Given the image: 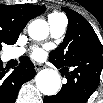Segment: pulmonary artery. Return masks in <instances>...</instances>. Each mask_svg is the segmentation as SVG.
I'll return each mask as SVG.
<instances>
[{
    "label": "pulmonary artery",
    "mask_w": 103,
    "mask_h": 103,
    "mask_svg": "<svg viewBox=\"0 0 103 103\" xmlns=\"http://www.w3.org/2000/svg\"><path fill=\"white\" fill-rule=\"evenodd\" d=\"M50 34L53 38H60L64 35L67 28V18L63 15L48 17ZM24 53V49L15 48L9 52L10 58H18Z\"/></svg>",
    "instance_id": "e3ab8cb5"
}]
</instances>
